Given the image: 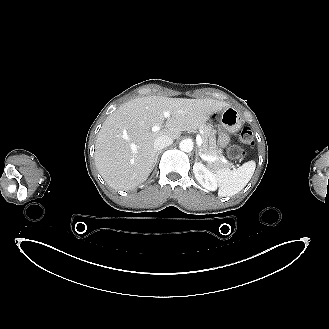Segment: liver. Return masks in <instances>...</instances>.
Returning a JSON list of instances; mask_svg holds the SVG:
<instances>
[{
    "label": "liver",
    "instance_id": "liver-1",
    "mask_svg": "<svg viewBox=\"0 0 329 329\" xmlns=\"http://www.w3.org/2000/svg\"><path fill=\"white\" fill-rule=\"evenodd\" d=\"M226 107L227 103L209 98L149 96L125 102L107 117L98 133L96 168L110 187L132 190L153 170L157 137L177 139L182 131L197 130L215 111ZM165 111L170 113L166 122ZM164 122L165 128L151 131V127Z\"/></svg>",
    "mask_w": 329,
    "mask_h": 329
}]
</instances>
